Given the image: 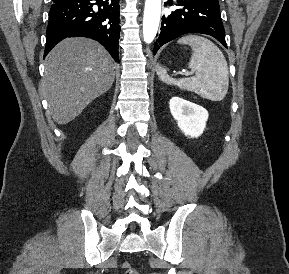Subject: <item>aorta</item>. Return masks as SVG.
Segmentation results:
<instances>
[{
	"mask_svg": "<svg viewBox=\"0 0 289 274\" xmlns=\"http://www.w3.org/2000/svg\"><path fill=\"white\" fill-rule=\"evenodd\" d=\"M161 14V0H146L143 19V36L146 43H151L158 31Z\"/></svg>",
	"mask_w": 289,
	"mask_h": 274,
	"instance_id": "obj_1",
	"label": "aorta"
}]
</instances>
